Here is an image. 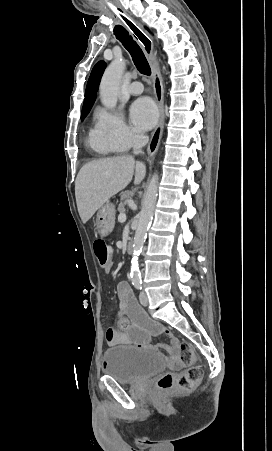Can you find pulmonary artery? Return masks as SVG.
<instances>
[{"mask_svg": "<svg viewBox=\"0 0 272 451\" xmlns=\"http://www.w3.org/2000/svg\"><path fill=\"white\" fill-rule=\"evenodd\" d=\"M141 81L140 80H135L134 83H132L128 88H127V92L131 95H139L141 94V92L143 91V86L141 85Z\"/></svg>", "mask_w": 272, "mask_h": 451, "instance_id": "obj_1", "label": "pulmonary artery"}]
</instances>
